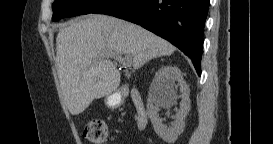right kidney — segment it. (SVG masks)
<instances>
[{
	"label": "right kidney",
	"mask_w": 273,
	"mask_h": 144,
	"mask_svg": "<svg viewBox=\"0 0 273 144\" xmlns=\"http://www.w3.org/2000/svg\"><path fill=\"white\" fill-rule=\"evenodd\" d=\"M175 81L178 82L182 91L183 103L177 112L175 121L171 127H167L162 123V119L158 115L157 108L153 105L155 99L152 96L147 101V114L152 122L156 134L165 142L174 143L185 127V118L189 110V87L184 81L181 71L177 67H162L155 75L153 84V93L155 98L165 105L172 101L176 96ZM153 96V97H154Z\"/></svg>",
	"instance_id": "1"
}]
</instances>
